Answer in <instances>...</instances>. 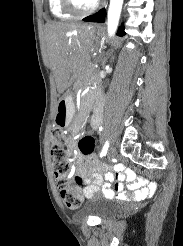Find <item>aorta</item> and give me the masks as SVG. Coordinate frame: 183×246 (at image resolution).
I'll use <instances>...</instances> for the list:
<instances>
[{
	"label": "aorta",
	"instance_id": "aorta-1",
	"mask_svg": "<svg viewBox=\"0 0 183 246\" xmlns=\"http://www.w3.org/2000/svg\"><path fill=\"white\" fill-rule=\"evenodd\" d=\"M123 0H110V5L107 15V30L108 35L113 36L119 24Z\"/></svg>",
	"mask_w": 183,
	"mask_h": 246
}]
</instances>
